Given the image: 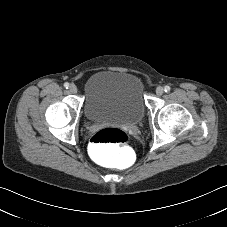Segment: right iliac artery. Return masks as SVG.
Segmentation results:
<instances>
[{"instance_id": "obj_1", "label": "right iliac artery", "mask_w": 227, "mask_h": 227, "mask_svg": "<svg viewBox=\"0 0 227 227\" xmlns=\"http://www.w3.org/2000/svg\"><path fill=\"white\" fill-rule=\"evenodd\" d=\"M69 86H70V85H69V83H67V82H66V83H64V87H65L66 89H68V88H69Z\"/></svg>"}]
</instances>
